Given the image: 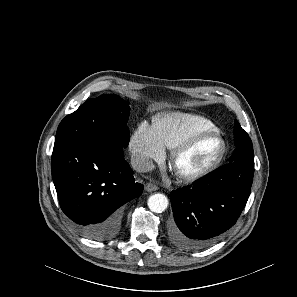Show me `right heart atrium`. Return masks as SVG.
<instances>
[{"mask_svg":"<svg viewBox=\"0 0 297 297\" xmlns=\"http://www.w3.org/2000/svg\"><path fill=\"white\" fill-rule=\"evenodd\" d=\"M129 148L133 165L139 171L151 169L154 162L160 161L165 155L164 146L153 126L145 121L138 125L131 136Z\"/></svg>","mask_w":297,"mask_h":297,"instance_id":"1","label":"right heart atrium"}]
</instances>
